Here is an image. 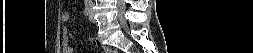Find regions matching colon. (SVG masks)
<instances>
[{"mask_svg": "<svg viewBox=\"0 0 253 53\" xmlns=\"http://www.w3.org/2000/svg\"><path fill=\"white\" fill-rule=\"evenodd\" d=\"M91 44H92L93 46H97V47H100V46H101V42H100L97 38L91 39ZM105 52H107V53H113V52L111 51V49H109V48H106V49H105Z\"/></svg>", "mask_w": 253, "mask_h": 53, "instance_id": "colon-1", "label": "colon"}]
</instances>
